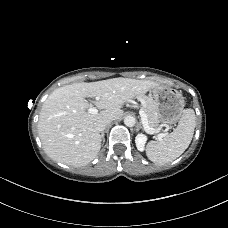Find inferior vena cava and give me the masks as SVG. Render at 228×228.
Wrapping results in <instances>:
<instances>
[{"label":"inferior vena cava","mask_w":228,"mask_h":228,"mask_svg":"<svg viewBox=\"0 0 228 228\" xmlns=\"http://www.w3.org/2000/svg\"><path fill=\"white\" fill-rule=\"evenodd\" d=\"M111 121H112L111 119L98 121L95 123V129L98 132H102L105 129V127L111 123Z\"/></svg>","instance_id":"602c4592"}]
</instances>
